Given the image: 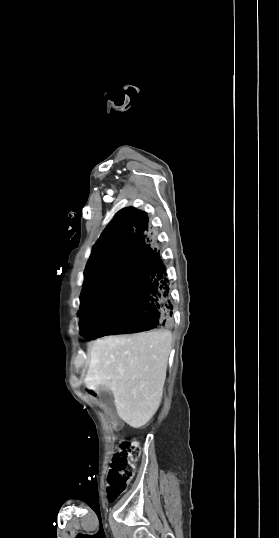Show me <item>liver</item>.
Returning a JSON list of instances; mask_svg holds the SVG:
<instances>
[{
    "instance_id": "obj_1",
    "label": "liver",
    "mask_w": 279,
    "mask_h": 538,
    "mask_svg": "<svg viewBox=\"0 0 279 538\" xmlns=\"http://www.w3.org/2000/svg\"><path fill=\"white\" fill-rule=\"evenodd\" d=\"M171 344L169 330L99 338L91 348L86 382L110 390L118 416L141 428L161 404Z\"/></svg>"
}]
</instances>
